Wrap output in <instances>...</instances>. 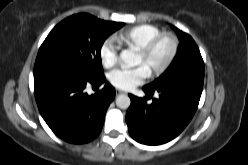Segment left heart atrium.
I'll use <instances>...</instances> for the list:
<instances>
[{
  "label": "left heart atrium",
  "mask_w": 248,
  "mask_h": 165,
  "mask_svg": "<svg viewBox=\"0 0 248 165\" xmlns=\"http://www.w3.org/2000/svg\"><path fill=\"white\" fill-rule=\"evenodd\" d=\"M151 71L149 68L141 64L134 68H121L114 70L109 75L110 83L119 89L130 90L142 84L149 78Z\"/></svg>",
  "instance_id": "1"
}]
</instances>
